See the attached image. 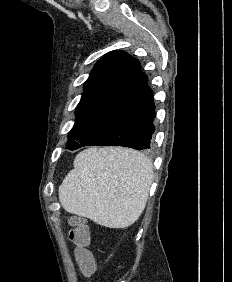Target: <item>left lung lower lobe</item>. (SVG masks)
<instances>
[{"label": "left lung lower lobe", "instance_id": "0a47b994", "mask_svg": "<svg viewBox=\"0 0 232 282\" xmlns=\"http://www.w3.org/2000/svg\"><path fill=\"white\" fill-rule=\"evenodd\" d=\"M140 63L101 111L89 139L67 147L124 146L137 150L149 149L155 131L153 92Z\"/></svg>", "mask_w": 232, "mask_h": 282}]
</instances>
